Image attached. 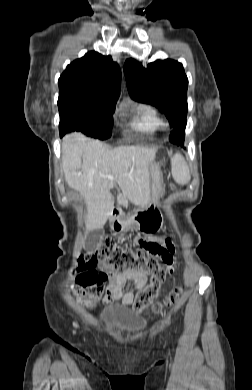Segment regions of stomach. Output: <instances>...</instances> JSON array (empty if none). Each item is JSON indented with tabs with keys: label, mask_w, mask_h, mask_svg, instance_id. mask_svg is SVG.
<instances>
[{
	"label": "stomach",
	"mask_w": 252,
	"mask_h": 390,
	"mask_svg": "<svg viewBox=\"0 0 252 390\" xmlns=\"http://www.w3.org/2000/svg\"><path fill=\"white\" fill-rule=\"evenodd\" d=\"M149 174L151 178V195L148 204L137 210L128 217H114L110 220L111 227L115 231H124L130 226H134L143 232H153L161 223L162 217L158 207V201L161 195L163 181L159 166L156 163H150Z\"/></svg>",
	"instance_id": "obj_1"
}]
</instances>
